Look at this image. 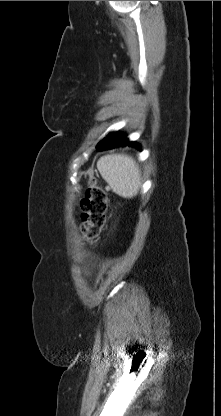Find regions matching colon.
<instances>
[{
	"mask_svg": "<svg viewBox=\"0 0 221 416\" xmlns=\"http://www.w3.org/2000/svg\"><path fill=\"white\" fill-rule=\"evenodd\" d=\"M82 226L81 231L86 240L97 239L105 228L108 199L103 188L93 178L85 197L81 201Z\"/></svg>",
	"mask_w": 221,
	"mask_h": 416,
	"instance_id": "5ec220e1",
	"label": "colon"
}]
</instances>
